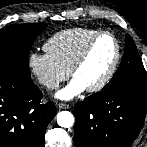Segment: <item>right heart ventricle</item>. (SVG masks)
<instances>
[{
	"instance_id": "e07e8e85",
	"label": "right heart ventricle",
	"mask_w": 147,
	"mask_h": 147,
	"mask_svg": "<svg viewBox=\"0 0 147 147\" xmlns=\"http://www.w3.org/2000/svg\"><path fill=\"white\" fill-rule=\"evenodd\" d=\"M98 32L91 28H70L52 35L45 43L44 50L63 68H70L84 44Z\"/></svg>"
}]
</instances>
